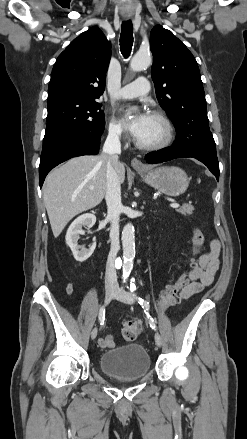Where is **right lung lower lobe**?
<instances>
[{
    "mask_svg": "<svg viewBox=\"0 0 247 439\" xmlns=\"http://www.w3.org/2000/svg\"><path fill=\"white\" fill-rule=\"evenodd\" d=\"M101 135L80 136L44 146L39 165L40 187H42L46 175L58 164L72 157L97 154Z\"/></svg>",
    "mask_w": 247,
    "mask_h": 439,
    "instance_id": "98d812e1",
    "label": "right lung lower lobe"
}]
</instances>
